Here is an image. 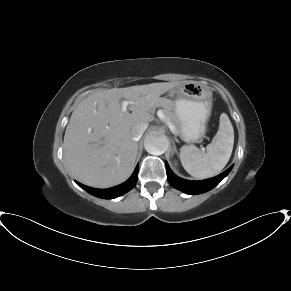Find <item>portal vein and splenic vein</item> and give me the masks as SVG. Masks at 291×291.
<instances>
[{"label":"portal vein and splenic vein","mask_w":291,"mask_h":291,"mask_svg":"<svg viewBox=\"0 0 291 291\" xmlns=\"http://www.w3.org/2000/svg\"><path fill=\"white\" fill-rule=\"evenodd\" d=\"M130 104H134V102H133V101L124 100V101L122 102V112L125 113V112L127 111V107H128V105H130ZM158 117H159V119H160L161 121H163V122H164V123L169 127V129H170L172 132L175 133L176 128L174 127V125H173L171 122H169V121L166 119V117H165V115L163 114L162 111H159V112H158Z\"/></svg>","instance_id":"1"}]
</instances>
